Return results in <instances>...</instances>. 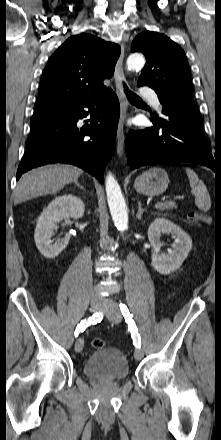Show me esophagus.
<instances>
[{"instance_id":"esophagus-1","label":"esophagus","mask_w":221,"mask_h":440,"mask_svg":"<svg viewBox=\"0 0 221 440\" xmlns=\"http://www.w3.org/2000/svg\"><path fill=\"white\" fill-rule=\"evenodd\" d=\"M123 61H124V45L121 44L120 57L116 63L114 80L116 86V94L120 100L121 113L117 129V155L120 157L123 153L124 141H125V119L127 116L128 102L123 88V81H125L124 71H123Z\"/></svg>"}]
</instances>
